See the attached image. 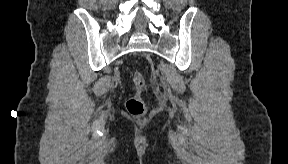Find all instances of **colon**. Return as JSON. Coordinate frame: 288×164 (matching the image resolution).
<instances>
[{
	"label": "colon",
	"mask_w": 288,
	"mask_h": 164,
	"mask_svg": "<svg viewBox=\"0 0 288 164\" xmlns=\"http://www.w3.org/2000/svg\"><path fill=\"white\" fill-rule=\"evenodd\" d=\"M133 84L135 93L132 97L126 101L127 112L134 117L144 116L146 113V103L143 97V93L146 89V80L144 76L139 72L133 74Z\"/></svg>",
	"instance_id": "obj_1"
}]
</instances>
